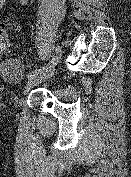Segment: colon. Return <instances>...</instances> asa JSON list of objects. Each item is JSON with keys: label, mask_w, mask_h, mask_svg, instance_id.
Listing matches in <instances>:
<instances>
[{"label": "colon", "mask_w": 131, "mask_h": 177, "mask_svg": "<svg viewBox=\"0 0 131 177\" xmlns=\"http://www.w3.org/2000/svg\"><path fill=\"white\" fill-rule=\"evenodd\" d=\"M11 45V35L6 21L0 22V53L5 54Z\"/></svg>", "instance_id": "colon-1"}]
</instances>
